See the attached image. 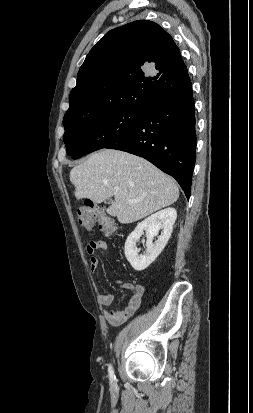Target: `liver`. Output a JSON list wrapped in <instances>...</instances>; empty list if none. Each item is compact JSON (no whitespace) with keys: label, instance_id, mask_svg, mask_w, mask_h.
<instances>
[{"label":"liver","instance_id":"liver-1","mask_svg":"<svg viewBox=\"0 0 253 413\" xmlns=\"http://www.w3.org/2000/svg\"><path fill=\"white\" fill-rule=\"evenodd\" d=\"M70 181L77 200L89 198L101 203L114 196L107 213L122 224L172 205L179 197L178 186L170 176L144 158L113 149L95 152L72 168Z\"/></svg>","mask_w":253,"mask_h":413}]
</instances>
